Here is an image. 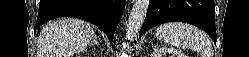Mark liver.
Here are the masks:
<instances>
[{"label":"liver","instance_id":"liver-1","mask_svg":"<svg viewBox=\"0 0 249 57\" xmlns=\"http://www.w3.org/2000/svg\"><path fill=\"white\" fill-rule=\"evenodd\" d=\"M94 30L85 21L64 18L49 23L38 38V57H72L85 50L95 39Z\"/></svg>","mask_w":249,"mask_h":57}]
</instances>
